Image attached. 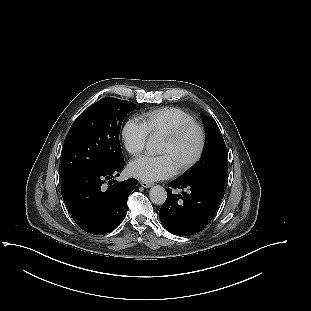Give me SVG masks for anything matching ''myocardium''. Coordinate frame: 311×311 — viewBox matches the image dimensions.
I'll list each match as a JSON object with an SVG mask.
<instances>
[{
	"instance_id": "1",
	"label": "myocardium",
	"mask_w": 311,
	"mask_h": 311,
	"mask_svg": "<svg viewBox=\"0 0 311 311\" xmlns=\"http://www.w3.org/2000/svg\"><path fill=\"white\" fill-rule=\"evenodd\" d=\"M192 130L196 131L197 133L198 141H197L196 149L191 157H189L187 160L181 162L179 165L176 166V172H182V171L187 170L200 159L203 153V150H204V146H205L204 129L199 123L192 121V122L181 124L175 129H173L172 131L161 136L162 140H165L171 144H174L177 141H179L187 132L192 131Z\"/></svg>"
}]
</instances>
